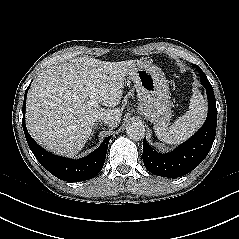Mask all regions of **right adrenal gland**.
I'll list each match as a JSON object with an SVG mask.
<instances>
[{"instance_id":"1","label":"right adrenal gland","mask_w":239,"mask_h":239,"mask_svg":"<svg viewBox=\"0 0 239 239\" xmlns=\"http://www.w3.org/2000/svg\"><path fill=\"white\" fill-rule=\"evenodd\" d=\"M97 126H98V123H95L94 126H93V130H92V133H91V136H90L89 139H91L92 136L94 135V132H95V129L97 128Z\"/></svg>"}]
</instances>
